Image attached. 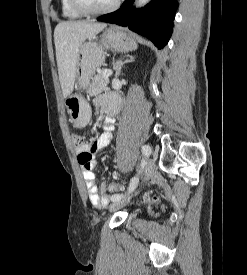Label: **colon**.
Instances as JSON below:
<instances>
[{"mask_svg": "<svg viewBox=\"0 0 247 275\" xmlns=\"http://www.w3.org/2000/svg\"><path fill=\"white\" fill-rule=\"evenodd\" d=\"M72 143L77 148L81 147L82 145H84L83 136H81L79 134H74L72 136ZM121 189H122V186L119 183H111L108 186V192H110V193H117ZM143 199H144L145 202L154 203V202L158 201L159 196H158L157 192L149 191V192L144 194Z\"/></svg>", "mask_w": 247, "mask_h": 275, "instance_id": "colon-1", "label": "colon"}]
</instances>
